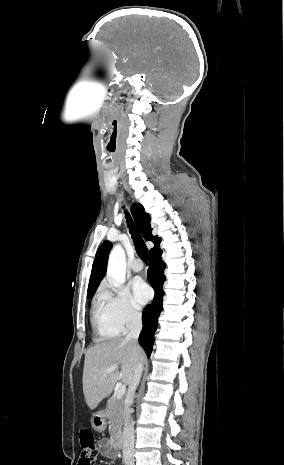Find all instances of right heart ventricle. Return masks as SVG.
Masks as SVG:
<instances>
[{"label": "right heart ventricle", "instance_id": "right-heart-ventricle-1", "mask_svg": "<svg viewBox=\"0 0 284 465\" xmlns=\"http://www.w3.org/2000/svg\"><path fill=\"white\" fill-rule=\"evenodd\" d=\"M93 338L96 342L118 338L123 330L115 323L104 303H94L90 318Z\"/></svg>", "mask_w": 284, "mask_h": 465}]
</instances>
